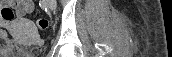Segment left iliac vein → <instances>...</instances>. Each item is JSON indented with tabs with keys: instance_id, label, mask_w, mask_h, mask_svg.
Wrapping results in <instances>:
<instances>
[{
	"instance_id": "1",
	"label": "left iliac vein",
	"mask_w": 172,
	"mask_h": 57,
	"mask_svg": "<svg viewBox=\"0 0 172 57\" xmlns=\"http://www.w3.org/2000/svg\"><path fill=\"white\" fill-rule=\"evenodd\" d=\"M47 6L49 7V9L51 11L54 12L56 10V7H57L56 1L55 0H48L47 1Z\"/></svg>"
}]
</instances>
